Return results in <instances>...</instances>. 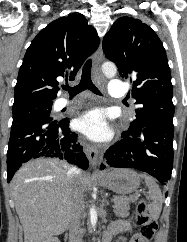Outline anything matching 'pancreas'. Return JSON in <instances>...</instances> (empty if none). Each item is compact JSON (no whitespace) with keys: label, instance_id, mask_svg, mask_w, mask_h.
Segmentation results:
<instances>
[{"label":"pancreas","instance_id":"1","mask_svg":"<svg viewBox=\"0 0 187 242\" xmlns=\"http://www.w3.org/2000/svg\"><path fill=\"white\" fill-rule=\"evenodd\" d=\"M138 195L130 197L118 196L114 198L113 211L117 216H125L130 209V203L137 201Z\"/></svg>","mask_w":187,"mask_h":242}]
</instances>
